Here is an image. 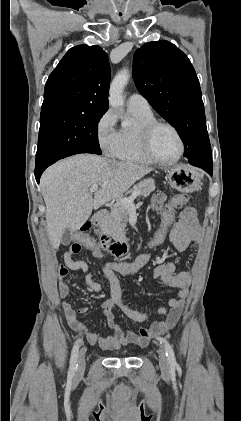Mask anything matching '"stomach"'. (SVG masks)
Listing matches in <instances>:
<instances>
[{
  "label": "stomach",
  "instance_id": "1",
  "mask_svg": "<svg viewBox=\"0 0 241 421\" xmlns=\"http://www.w3.org/2000/svg\"><path fill=\"white\" fill-rule=\"evenodd\" d=\"M170 184L184 193L195 191L200 184V174L188 165H178L168 171Z\"/></svg>",
  "mask_w": 241,
  "mask_h": 421
}]
</instances>
